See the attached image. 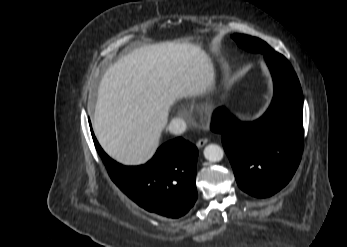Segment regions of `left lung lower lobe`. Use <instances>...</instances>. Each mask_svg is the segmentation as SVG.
<instances>
[{"mask_svg": "<svg viewBox=\"0 0 347 247\" xmlns=\"http://www.w3.org/2000/svg\"><path fill=\"white\" fill-rule=\"evenodd\" d=\"M274 81V96L265 114L241 122L224 107L214 114L211 129L222 135L224 150L238 186L246 193L269 197L294 175L303 150V95L299 80L281 54H265Z\"/></svg>", "mask_w": 347, "mask_h": 247, "instance_id": "1", "label": "left lung lower lobe"}]
</instances>
